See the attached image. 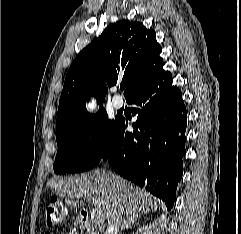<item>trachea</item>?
<instances>
[{
    "label": "trachea",
    "instance_id": "obj_1",
    "mask_svg": "<svg viewBox=\"0 0 241 234\" xmlns=\"http://www.w3.org/2000/svg\"><path fill=\"white\" fill-rule=\"evenodd\" d=\"M125 87H126V85H125V84H121V85H120L121 90H124V89H125Z\"/></svg>",
    "mask_w": 241,
    "mask_h": 234
}]
</instances>
